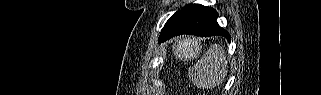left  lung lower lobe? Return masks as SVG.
Here are the masks:
<instances>
[{
    "mask_svg": "<svg viewBox=\"0 0 321 95\" xmlns=\"http://www.w3.org/2000/svg\"><path fill=\"white\" fill-rule=\"evenodd\" d=\"M217 17L218 14L213 8L200 4L186 5L168 19L161 30L159 42L181 34L201 37L220 35L230 41L229 33L218 25Z\"/></svg>",
    "mask_w": 321,
    "mask_h": 95,
    "instance_id": "1",
    "label": "left lung lower lobe"
}]
</instances>
